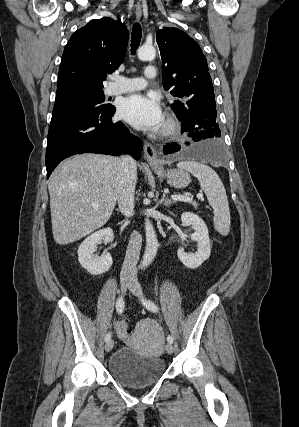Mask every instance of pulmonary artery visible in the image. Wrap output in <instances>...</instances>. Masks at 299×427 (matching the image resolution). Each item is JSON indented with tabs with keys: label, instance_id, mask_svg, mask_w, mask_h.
<instances>
[{
	"label": "pulmonary artery",
	"instance_id": "e3ab8cb5",
	"mask_svg": "<svg viewBox=\"0 0 299 427\" xmlns=\"http://www.w3.org/2000/svg\"><path fill=\"white\" fill-rule=\"evenodd\" d=\"M157 77V69L153 65L145 68L143 77H124L114 76V82L109 87V95L133 92L146 87L148 80H153Z\"/></svg>",
	"mask_w": 299,
	"mask_h": 427
}]
</instances>
